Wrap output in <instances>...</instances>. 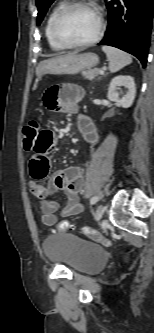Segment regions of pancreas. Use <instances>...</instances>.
Wrapping results in <instances>:
<instances>
[{
  "mask_svg": "<svg viewBox=\"0 0 154 333\" xmlns=\"http://www.w3.org/2000/svg\"><path fill=\"white\" fill-rule=\"evenodd\" d=\"M99 69H89V70H85L82 72L83 77L87 78V79H93L94 77L99 75Z\"/></svg>",
  "mask_w": 154,
  "mask_h": 333,
  "instance_id": "1",
  "label": "pancreas"
}]
</instances>
